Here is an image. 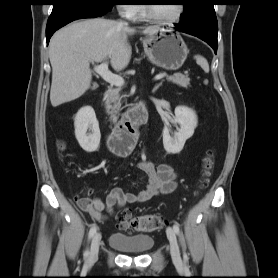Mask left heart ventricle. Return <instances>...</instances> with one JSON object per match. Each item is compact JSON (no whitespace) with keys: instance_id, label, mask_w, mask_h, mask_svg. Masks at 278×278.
Segmentation results:
<instances>
[{"instance_id":"left-heart-ventricle-1","label":"left heart ventricle","mask_w":278,"mask_h":278,"mask_svg":"<svg viewBox=\"0 0 278 278\" xmlns=\"http://www.w3.org/2000/svg\"><path fill=\"white\" fill-rule=\"evenodd\" d=\"M152 12L161 19H171L178 12V4L152 5Z\"/></svg>"}]
</instances>
